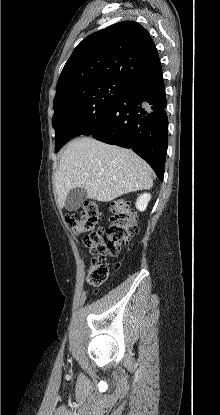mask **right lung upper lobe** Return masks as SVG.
Segmentation results:
<instances>
[{
  "label": "right lung upper lobe",
  "mask_w": 220,
  "mask_h": 415,
  "mask_svg": "<svg viewBox=\"0 0 220 415\" xmlns=\"http://www.w3.org/2000/svg\"><path fill=\"white\" fill-rule=\"evenodd\" d=\"M161 70L149 32L137 22L123 21L87 36L75 47L56 94L89 81L116 79L132 84Z\"/></svg>",
  "instance_id": "obj_1"
}]
</instances>
